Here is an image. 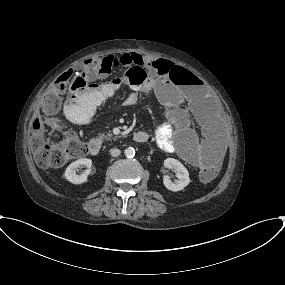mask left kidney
I'll return each instance as SVG.
<instances>
[{
	"label": "left kidney",
	"instance_id": "obj_1",
	"mask_svg": "<svg viewBox=\"0 0 285 285\" xmlns=\"http://www.w3.org/2000/svg\"><path fill=\"white\" fill-rule=\"evenodd\" d=\"M164 167L173 169L176 172V177L178 178L175 182H172L169 176L165 175L163 177V183L168 190L174 192L180 191L189 184L190 178L188 170L180 161L174 158H167L164 160Z\"/></svg>",
	"mask_w": 285,
	"mask_h": 285
}]
</instances>
